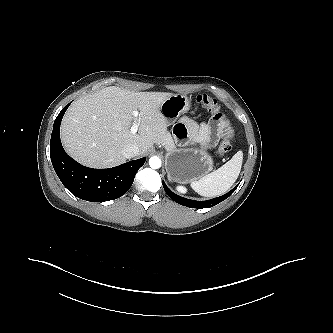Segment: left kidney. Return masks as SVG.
Wrapping results in <instances>:
<instances>
[{
  "mask_svg": "<svg viewBox=\"0 0 333 333\" xmlns=\"http://www.w3.org/2000/svg\"><path fill=\"white\" fill-rule=\"evenodd\" d=\"M177 190L181 193H185L186 192V188H184L183 186H179L177 187Z\"/></svg>",
  "mask_w": 333,
  "mask_h": 333,
  "instance_id": "1",
  "label": "left kidney"
}]
</instances>
